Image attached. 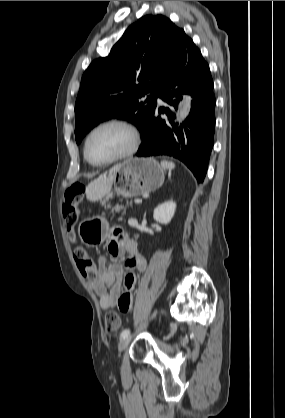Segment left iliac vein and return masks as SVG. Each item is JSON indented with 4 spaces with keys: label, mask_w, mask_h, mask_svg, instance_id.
<instances>
[{
    "label": "left iliac vein",
    "mask_w": 285,
    "mask_h": 418,
    "mask_svg": "<svg viewBox=\"0 0 285 418\" xmlns=\"http://www.w3.org/2000/svg\"><path fill=\"white\" fill-rule=\"evenodd\" d=\"M131 336H127L125 338H123L118 345V353L120 354L122 351H124L130 344L131 342Z\"/></svg>",
    "instance_id": "obj_1"
}]
</instances>
